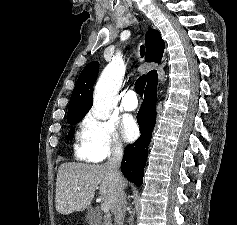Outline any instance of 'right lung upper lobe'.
<instances>
[{"label":"right lung upper lobe","mask_w":237,"mask_h":225,"mask_svg":"<svg viewBox=\"0 0 237 225\" xmlns=\"http://www.w3.org/2000/svg\"><path fill=\"white\" fill-rule=\"evenodd\" d=\"M146 56L145 61L160 63L164 52V41L157 30L149 29L145 36ZM99 71V63H89L80 73L72 92L68 113L74 111L88 112L93 97V85ZM148 84L158 83L157 71L152 70L147 74Z\"/></svg>","instance_id":"cb5924a9"}]
</instances>
